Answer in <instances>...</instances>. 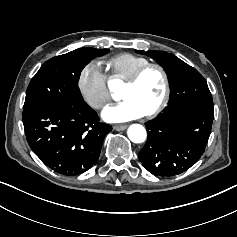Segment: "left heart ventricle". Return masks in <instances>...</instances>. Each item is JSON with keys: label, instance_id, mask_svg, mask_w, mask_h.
I'll use <instances>...</instances> for the list:
<instances>
[{"label": "left heart ventricle", "instance_id": "obj_1", "mask_svg": "<svg viewBox=\"0 0 237 237\" xmlns=\"http://www.w3.org/2000/svg\"><path fill=\"white\" fill-rule=\"evenodd\" d=\"M164 95V80L159 70L149 69L135 85H124L121 99L134 103L144 114L153 110Z\"/></svg>", "mask_w": 237, "mask_h": 237}]
</instances>
